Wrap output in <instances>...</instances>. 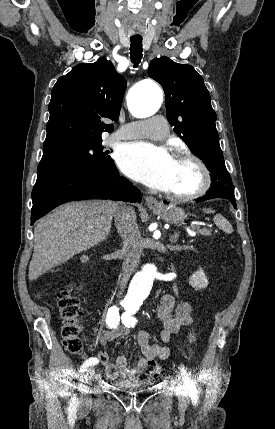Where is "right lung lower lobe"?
<instances>
[{"instance_id": "1", "label": "right lung lower lobe", "mask_w": 275, "mask_h": 429, "mask_svg": "<svg viewBox=\"0 0 275 429\" xmlns=\"http://www.w3.org/2000/svg\"><path fill=\"white\" fill-rule=\"evenodd\" d=\"M141 192L118 170L58 173L37 181L32 191L31 224L55 207L76 200L111 199L140 202Z\"/></svg>"}]
</instances>
